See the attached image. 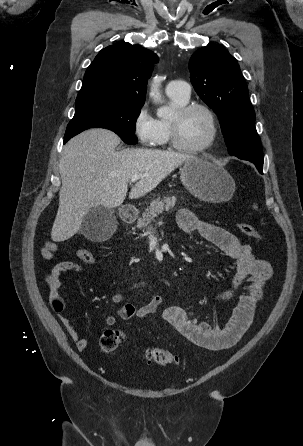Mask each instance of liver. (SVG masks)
I'll list each match as a JSON object with an SVG mask.
<instances>
[{"instance_id":"obj_1","label":"liver","mask_w":303,"mask_h":446,"mask_svg":"<svg viewBox=\"0 0 303 446\" xmlns=\"http://www.w3.org/2000/svg\"><path fill=\"white\" fill-rule=\"evenodd\" d=\"M120 138L105 129L84 131L65 146L59 161L62 186L51 239L65 241L81 227L92 207L120 206L133 175L143 177L132 187L129 198H140L165 179L179 165L194 156L153 149L116 151Z\"/></svg>"}]
</instances>
